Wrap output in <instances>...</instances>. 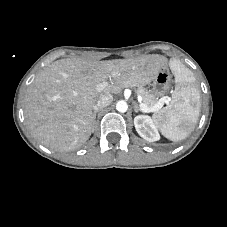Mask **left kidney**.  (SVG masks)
Instances as JSON below:
<instances>
[{"mask_svg": "<svg viewBox=\"0 0 227 227\" xmlns=\"http://www.w3.org/2000/svg\"><path fill=\"white\" fill-rule=\"evenodd\" d=\"M134 125L138 134L149 142L158 141L160 135L154 120L148 115H138L134 118Z\"/></svg>", "mask_w": 227, "mask_h": 227, "instance_id": "obj_1", "label": "left kidney"}]
</instances>
